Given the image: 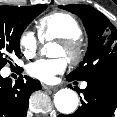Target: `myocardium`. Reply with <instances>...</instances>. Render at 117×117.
Instances as JSON below:
<instances>
[{
    "label": "myocardium",
    "instance_id": "1",
    "mask_svg": "<svg viewBox=\"0 0 117 117\" xmlns=\"http://www.w3.org/2000/svg\"><path fill=\"white\" fill-rule=\"evenodd\" d=\"M59 44L65 51L67 60L72 64H78L82 61L85 51L82 42L77 38L59 39Z\"/></svg>",
    "mask_w": 117,
    "mask_h": 117
}]
</instances>
